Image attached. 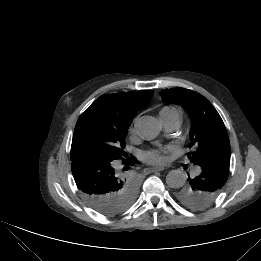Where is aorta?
<instances>
[{"mask_svg": "<svg viewBox=\"0 0 261 261\" xmlns=\"http://www.w3.org/2000/svg\"><path fill=\"white\" fill-rule=\"evenodd\" d=\"M161 128L159 121L152 116H143L137 124L139 135L146 140L157 137ZM166 183L170 188H180L185 183V175L180 170H172L166 176Z\"/></svg>", "mask_w": 261, "mask_h": 261, "instance_id": "762f6f07", "label": "aorta"}]
</instances>
